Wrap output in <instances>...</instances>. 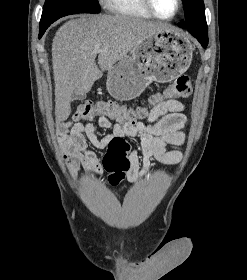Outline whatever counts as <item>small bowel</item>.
I'll return each instance as SVG.
<instances>
[{"mask_svg":"<svg viewBox=\"0 0 247 280\" xmlns=\"http://www.w3.org/2000/svg\"><path fill=\"white\" fill-rule=\"evenodd\" d=\"M185 105L177 100H167L154 106L147 122L135 125L116 122L100 116L98 126L108 133L100 137L93 123L63 122L58 126V135L64 149V158L72 172L82 167L91 177L99 176L103 165L97 154L88 149L89 144L96 149L108 148L114 139L139 138L140 151L130 149L129 179L134 182L149 174L154 158L164 164H176L182 154L178 150H167V145L180 146L185 141L182 131L186 124ZM127 141V140H126Z\"/></svg>","mask_w":247,"mask_h":280,"instance_id":"obj_1","label":"small bowel"}]
</instances>
